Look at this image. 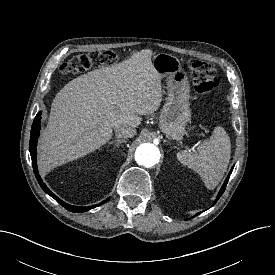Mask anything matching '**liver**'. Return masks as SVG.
I'll use <instances>...</instances> for the list:
<instances>
[{"mask_svg": "<svg viewBox=\"0 0 275 275\" xmlns=\"http://www.w3.org/2000/svg\"><path fill=\"white\" fill-rule=\"evenodd\" d=\"M152 53L144 49L121 63L88 72L57 93L38 146L43 172L93 152L112 138L117 125L138 127L141 115L159 108L161 77Z\"/></svg>", "mask_w": 275, "mask_h": 275, "instance_id": "1", "label": "liver"}]
</instances>
